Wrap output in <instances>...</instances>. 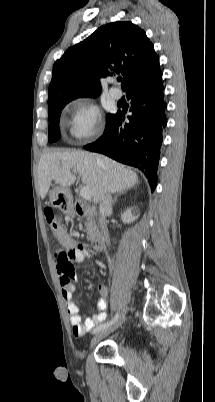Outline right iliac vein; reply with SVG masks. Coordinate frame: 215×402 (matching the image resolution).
Wrapping results in <instances>:
<instances>
[{
    "label": "right iliac vein",
    "instance_id": "obj_1",
    "mask_svg": "<svg viewBox=\"0 0 215 402\" xmlns=\"http://www.w3.org/2000/svg\"><path fill=\"white\" fill-rule=\"evenodd\" d=\"M125 320H126V315L123 314L120 317V319L118 321H116L114 324L97 332L91 341V347H93L97 342H99L104 337L108 336L110 333L114 332L117 328H119L124 323Z\"/></svg>",
    "mask_w": 215,
    "mask_h": 402
}]
</instances>
